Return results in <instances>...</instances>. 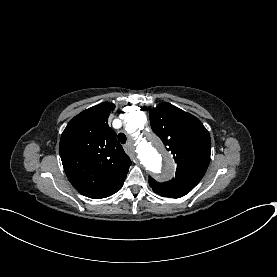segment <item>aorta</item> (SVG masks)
Here are the masks:
<instances>
[{"mask_svg": "<svg viewBox=\"0 0 277 277\" xmlns=\"http://www.w3.org/2000/svg\"><path fill=\"white\" fill-rule=\"evenodd\" d=\"M127 131L137 139V153L142 165L157 175H168L174 168V162L169 152H166L160 139L149 134L140 136V131L147 121L141 111H134L127 115Z\"/></svg>", "mask_w": 277, "mask_h": 277, "instance_id": "762f6f07", "label": "aorta"}]
</instances>
